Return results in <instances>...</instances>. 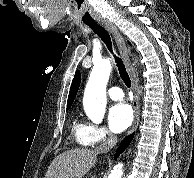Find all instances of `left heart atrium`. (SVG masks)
I'll return each mask as SVG.
<instances>
[{
  "label": "left heart atrium",
  "mask_w": 194,
  "mask_h": 178,
  "mask_svg": "<svg viewBox=\"0 0 194 178\" xmlns=\"http://www.w3.org/2000/svg\"><path fill=\"white\" fill-rule=\"evenodd\" d=\"M133 120L132 108L126 103L113 105L108 112V123L110 129L119 133L127 129Z\"/></svg>",
  "instance_id": "39dd6f15"
}]
</instances>
